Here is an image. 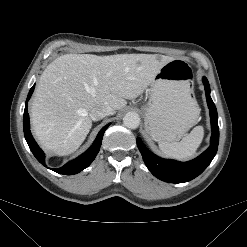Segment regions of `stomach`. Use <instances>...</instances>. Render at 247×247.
<instances>
[{
    "mask_svg": "<svg viewBox=\"0 0 247 247\" xmlns=\"http://www.w3.org/2000/svg\"><path fill=\"white\" fill-rule=\"evenodd\" d=\"M191 76L190 66L174 59L151 82L149 101L142 110L145 130L155 141L176 142L196 123L199 110L190 101Z\"/></svg>",
    "mask_w": 247,
    "mask_h": 247,
    "instance_id": "1",
    "label": "stomach"
}]
</instances>
